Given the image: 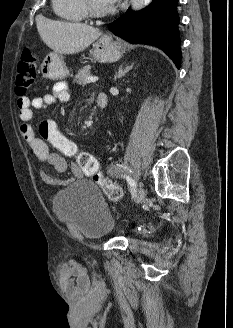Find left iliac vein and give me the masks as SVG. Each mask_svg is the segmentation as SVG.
Here are the masks:
<instances>
[{"mask_svg":"<svg viewBox=\"0 0 233 328\" xmlns=\"http://www.w3.org/2000/svg\"><path fill=\"white\" fill-rule=\"evenodd\" d=\"M146 192L143 187H139L135 193V200L137 203H142L145 199Z\"/></svg>","mask_w":233,"mask_h":328,"instance_id":"4c4485c4","label":"left iliac vein"}]
</instances>
